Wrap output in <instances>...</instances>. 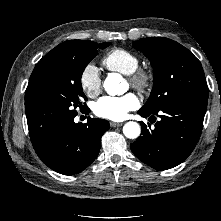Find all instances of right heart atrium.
Instances as JSON below:
<instances>
[{"mask_svg":"<svg viewBox=\"0 0 221 221\" xmlns=\"http://www.w3.org/2000/svg\"><path fill=\"white\" fill-rule=\"evenodd\" d=\"M81 90L86 96L94 98L101 92L102 80L98 67L93 63L87 64L79 77Z\"/></svg>","mask_w":221,"mask_h":221,"instance_id":"d8ad5b80","label":"right heart atrium"}]
</instances>
